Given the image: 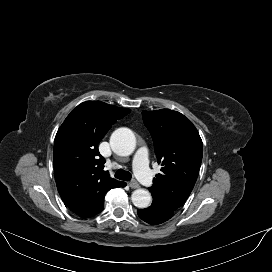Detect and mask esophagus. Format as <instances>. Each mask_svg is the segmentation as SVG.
I'll list each match as a JSON object with an SVG mask.
<instances>
[{
    "instance_id": "esophagus-1",
    "label": "esophagus",
    "mask_w": 272,
    "mask_h": 272,
    "mask_svg": "<svg viewBox=\"0 0 272 272\" xmlns=\"http://www.w3.org/2000/svg\"><path fill=\"white\" fill-rule=\"evenodd\" d=\"M129 186L131 188H133V189H136V188L139 187V184H138V182L136 180H132V181L129 182Z\"/></svg>"
}]
</instances>
